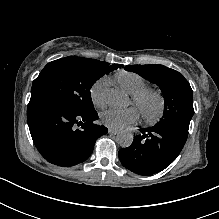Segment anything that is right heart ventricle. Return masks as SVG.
I'll use <instances>...</instances> for the list:
<instances>
[{"label": "right heart ventricle", "instance_id": "e07e8e85", "mask_svg": "<svg viewBox=\"0 0 219 219\" xmlns=\"http://www.w3.org/2000/svg\"><path fill=\"white\" fill-rule=\"evenodd\" d=\"M115 80L119 86L129 94L136 93L148 86L147 80L142 75L132 71L123 70L117 72Z\"/></svg>", "mask_w": 219, "mask_h": 219}]
</instances>
